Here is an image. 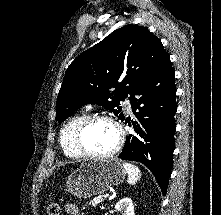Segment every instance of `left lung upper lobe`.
I'll return each instance as SVG.
<instances>
[{
    "label": "left lung upper lobe",
    "instance_id": "obj_1",
    "mask_svg": "<svg viewBox=\"0 0 221 215\" xmlns=\"http://www.w3.org/2000/svg\"><path fill=\"white\" fill-rule=\"evenodd\" d=\"M166 57L161 41L147 28L126 25L115 30L69 65L58 94L56 120L62 122L83 105L94 103L123 121L120 101L128 95L131 100Z\"/></svg>",
    "mask_w": 221,
    "mask_h": 215
}]
</instances>
